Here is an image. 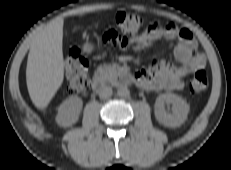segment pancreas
Listing matches in <instances>:
<instances>
[{"instance_id": "obj_1", "label": "pancreas", "mask_w": 231, "mask_h": 170, "mask_svg": "<svg viewBox=\"0 0 231 170\" xmlns=\"http://www.w3.org/2000/svg\"><path fill=\"white\" fill-rule=\"evenodd\" d=\"M115 70H116L115 64H103L97 68L95 72V76H99L102 78H110L114 75Z\"/></svg>"}]
</instances>
